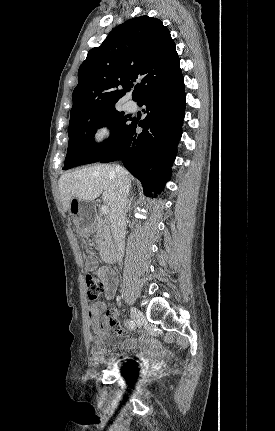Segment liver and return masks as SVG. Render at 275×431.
<instances>
[{"label": "liver", "mask_w": 275, "mask_h": 431, "mask_svg": "<svg viewBox=\"0 0 275 431\" xmlns=\"http://www.w3.org/2000/svg\"><path fill=\"white\" fill-rule=\"evenodd\" d=\"M126 173L128 175L127 171ZM58 186L65 212L69 209L72 198L91 202L100 194L111 208L118 190V179L114 166L100 164L61 175Z\"/></svg>", "instance_id": "liver-1"}]
</instances>
